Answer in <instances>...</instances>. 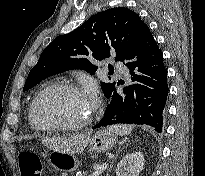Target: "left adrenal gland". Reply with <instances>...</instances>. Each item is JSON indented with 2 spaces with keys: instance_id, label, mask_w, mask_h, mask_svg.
I'll return each mask as SVG.
<instances>
[{
  "instance_id": "obj_1",
  "label": "left adrenal gland",
  "mask_w": 205,
  "mask_h": 176,
  "mask_svg": "<svg viewBox=\"0 0 205 176\" xmlns=\"http://www.w3.org/2000/svg\"><path fill=\"white\" fill-rule=\"evenodd\" d=\"M122 149H124V147H121L119 151H121ZM117 155H118V153H117L116 156L113 158V160H112V162H111V164H110V166H109V168H108V170H107L106 176H109V172L111 171L112 164H113L114 160L116 159Z\"/></svg>"
}]
</instances>
